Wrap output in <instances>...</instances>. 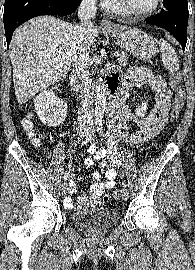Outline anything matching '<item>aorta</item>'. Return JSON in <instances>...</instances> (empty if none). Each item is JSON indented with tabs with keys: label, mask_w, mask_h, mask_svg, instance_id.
Returning <instances> with one entry per match:
<instances>
[{
	"label": "aorta",
	"mask_w": 195,
	"mask_h": 270,
	"mask_svg": "<svg viewBox=\"0 0 195 270\" xmlns=\"http://www.w3.org/2000/svg\"><path fill=\"white\" fill-rule=\"evenodd\" d=\"M105 107H106V88L103 79L99 77L98 85L96 87L95 116L98 118L103 117Z\"/></svg>",
	"instance_id": "obj_1"
}]
</instances>
